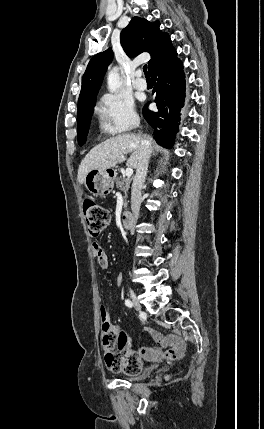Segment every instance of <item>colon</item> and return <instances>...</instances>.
Masks as SVG:
<instances>
[{
	"instance_id": "5ec220e1",
	"label": "colon",
	"mask_w": 264,
	"mask_h": 429,
	"mask_svg": "<svg viewBox=\"0 0 264 429\" xmlns=\"http://www.w3.org/2000/svg\"><path fill=\"white\" fill-rule=\"evenodd\" d=\"M83 211L87 228L92 236H97L109 224L110 213L99 203L92 199H85ZM102 320V346L105 351L107 366L116 372L128 375L139 373L141 362L135 354L128 353V338L116 325H113L103 306L100 307Z\"/></svg>"
}]
</instances>
